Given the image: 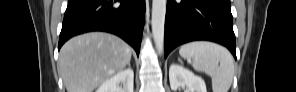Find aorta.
I'll return each mask as SVG.
<instances>
[{"mask_svg": "<svg viewBox=\"0 0 296 92\" xmlns=\"http://www.w3.org/2000/svg\"><path fill=\"white\" fill-rule=\"evenodd\" d=\"M166 14V0H153L152 2V34L159 53L163 52L164 24Z\"/></svg>", "mask_w": 296, "mask_h": 92, "instance_id": "obj_1", "label": "aorta"}]
</instances>
